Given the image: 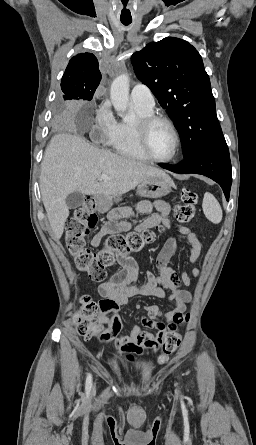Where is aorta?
<instances>
[{
	"instance_id": "aorta-1",
	"label": "aorta",
	"mask_w": 256,
	"mask_h": 445,
	"mask_svg": "<svg viewBox=\"0 0 256 445\" xmlns=\"http://www.w3.org/2000/svg\"><path fill=\"white\" fill-rule=\"evenodd\" d=\"M129 80L127 73L121 74L114 79L110 88L111 102L125 122L133 119V115L125 114L129 104Z\"/></svg>"
}]
</instances>
